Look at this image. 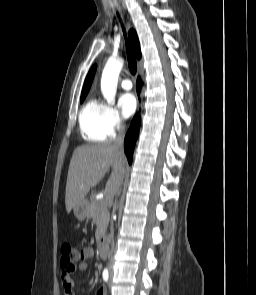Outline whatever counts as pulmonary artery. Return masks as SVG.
<instances>
[{
	"instance_id": "1",
	"label": "pulmonary artery",
	"mask_w": 256,
	"mask_h": 295,
	"mask_svg": "<svg viewBox=\"0 0 256 295\" xmlns=\"http://www.w3.org/2000/svg\"><path fill=\"white\" fill-rule=\"evenodd\" d=\"M132 82L129 78H124L122 81H121V87L124 89V90H130L132 89Z\"/></svg>"
}]
</instances>
